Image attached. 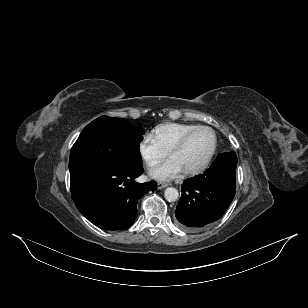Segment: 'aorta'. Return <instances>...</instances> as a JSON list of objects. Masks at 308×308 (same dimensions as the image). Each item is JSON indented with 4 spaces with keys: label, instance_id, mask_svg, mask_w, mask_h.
I'll return each instance as SVG.
<instances>
[{
    "label": "aorta",
    "instance_id": "obj_1",
    "mask_svg": "<svg viewBox=\"0 0 308 308\" xmlns=\"http://www.w3.org/2000/svg\"><path fill=\"white\" fill-rule=\"evenodd\" d=\"M164 197L168 202H174L179 197L178 190L173 187H169L165 190Z\"/></svg>",
    "mask_w": 308,
    "mask_h": 308
}]
</instances>
